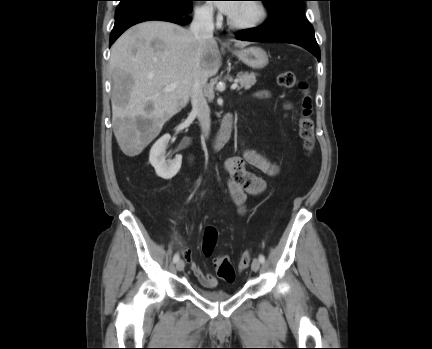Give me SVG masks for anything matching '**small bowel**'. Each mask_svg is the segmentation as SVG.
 <instances>
[{
	"mask_svg": "<svg viewBox=\"0 0 432 349\" xmlns=\"http://www.w3.org/2000/svg\"><path fill=\"white\" fill-rule=\"evenodd\" d=\"M260 96L266 97V91L260 92ZM251 165L269 176H276L279 167L256 150L244 147L241 157H232L225 162V171L228 175V190L231 198L238 207L240 213L246 210L247 195L258 196L266 190V182L263 178L247 170L246 166ZM183 256L190 262L191 270L199 283L206 288L217 286L218 279L209 273H204L200 266L192 260V252L189 249L183 250Z\"/></svg>",
	"mask_w": 432,
	"mask_h": 349,
	"instance_id": "1",
	"label": "small bowel"
}]
</instances>
